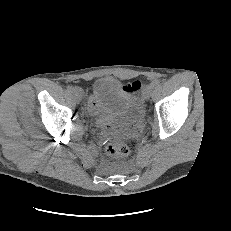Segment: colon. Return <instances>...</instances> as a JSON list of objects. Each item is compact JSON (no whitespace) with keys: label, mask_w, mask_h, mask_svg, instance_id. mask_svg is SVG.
Returning <instances> with one entry per match:
<instances>
[{"label":"colon","mask_w":231,"mask_h":231,"mask_svg":"<svg viewBox=\"0 0 231 231\" xmlns=\"http://www.w3.org/2000/svg\"><path fill=\"white\" fill-rule=\"evenodd\" d=\"M140 86V82H134L129 85V88L133 91H137ZM106 152L114 157H125L130 153V149L129 146L122 141H113L107 145Z\"/></svg>","instance_id":"colon-1"}]
</instances>
